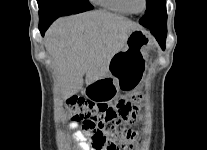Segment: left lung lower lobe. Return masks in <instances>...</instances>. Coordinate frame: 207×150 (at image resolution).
<instances>
[{"mask_svg": "<svg viewBox=\"0 0 207 150\" xmlns=\"http://www.w3.org/2000/svg\"><path fill=\"white\" fill-rule=\"evenodd\" d=\"M150 32L156 38L162 49H165V40L167 35V28L164 29H150Z\"/></svg>", "mask_w": 207, "mask_h": 150, "instance_id": "0a47b994", "label": "left lung lower lobe"}]
</instances>
